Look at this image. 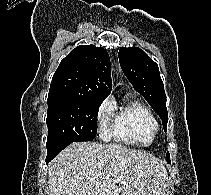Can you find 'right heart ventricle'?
Masks as SVG:
<instances>
[{
	"mask_svg": "<svg viewBox=\"0 0 211 195\" xmlns=\"http://www.w3.org/2000/svg\"><path fill=\"white\" fill-rule=\"evenodd\" d=\"M113 123L110 135L125 144L150 146L158 131V121L152 111L139 100H133L120 109L112 105Z\"/></svg>",
	"mask_w": 211,
	"mask_h": 195,
	"instance_id": "right-heart-ventricle-1",
	"label": "right heart ventricle"
}]
</instances>
